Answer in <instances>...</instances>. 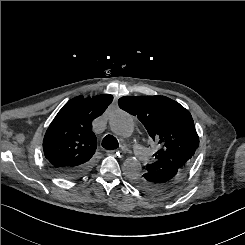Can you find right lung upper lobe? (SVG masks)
I'll return each instance as SVG.
<instances>
[{"instance_id": "right-lung-upper-lobe-1", "label": "right lung upper lobe", "mask_w": 245, "mask_h": 245, "mask_svg": "<svg viewBox=\"0 0 245 245\" xmlns=\"http://www.w3.org/2000/svg\"><path fill=\"white\" fill-rule=\"evenodd\" d=\"M113 100L109 94L78 96L67 102L48 127L43 150L51 168H76L92 161L97 140L92 121Z\"/></svg>"}]
</instances>
